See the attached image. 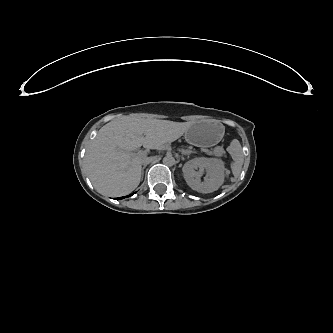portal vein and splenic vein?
<instances>
[{
    "instance_id": "18ae733b",
    "label": "portal vein and splenic vein",
    "mask_w": 333,
    "mask_h": 333,
    "mask_svg": "<svg viewBox=\"0 0 333 333\" xmlns=\"http://www.w3.org/2000/svg\"><path fill=\"white\" fill-rule=\"evenodd\" d=\"M132 155H136V156H138V157H140V158H143V157H145L146 155H147V152L146 151H139L138 153H131Z\"/></svg>"
}]
</instances>
